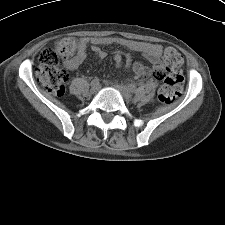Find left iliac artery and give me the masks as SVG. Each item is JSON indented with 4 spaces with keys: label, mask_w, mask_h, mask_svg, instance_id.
<instances>
[{
    "label": "left iliac artery",
    "mask_w": 225,
    "mask_h": 225,
    "mask_svg": "<svg viewBox=\"0 0 225 225\" xmlns=\"http://www.w3.org/2000/svg\"><path fill=\"white\" fill-rule=\"evenodd\" d=\"M128 87H129V90L132 92H134L136 89V86L134 84H130Z\"/></svg>",
    "instance_id": "left-iliac-artery-1"
}]
</instances>
